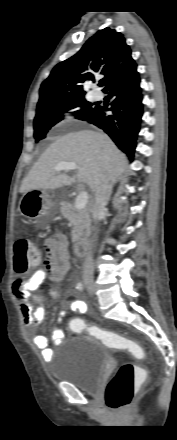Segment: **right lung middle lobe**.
<instances>
[{"mask_svg": "<svg viewBox=\"0 0 177 440\" xmlns=\"http://www.w3.org/2000/svg\"><path fill=\"white\" fill-rule=\"evenodd\" d=\"M70 109L77 118L83 119L95 107L86 101L84 95L59 99L49 104L37 106L34 119V138L39 141L46 137L48 130L63 119V114Z\"/></svg>", "mask_w": 177, "mask_h": 440, "instance_id": "1", "label": "right lung middle lobe"}]
</instances>
